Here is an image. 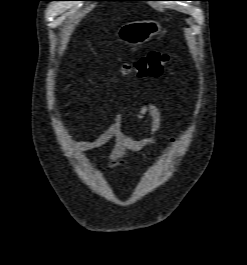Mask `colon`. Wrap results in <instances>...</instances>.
Listing matches in <instances>:
<instances>
[{
	"instance_id": "1",
	"label": "colon",
	"mask_w": 247,
	"mask_h": 265,
	"mask_svg": "<svg viewBox=\"0 0 247 265\" xmlns=\"http://www.w3.org/2000/svg\"><path fill=\"white\" fill-rule=\"evenodd\" d=\"M170 57L166 53L151 51L142 57L122 65L120 73L124 77L137 76L139 78H151L160 76Z\"/></svg>"
}]
</instances>
